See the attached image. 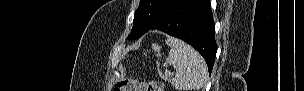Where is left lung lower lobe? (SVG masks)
Returning <instances> with one entry per match:
<instances>
[{
	"instance_id": "1",
	"label": "left lung lower lobe",
	"mask_w": 304,
	"mask_h": 91,
	"mask_svg": "<svg viewBox=\"0 0 304 91\" xmlns=\"http://www.w3.org/2000/svg\"><path fill=\"white\" fill-rule=\"evenodd\" d=\"M151 29H160L193 46L204 57L211 74L217 44L209 0H173Z\"/></svg>"
}]
</instances>
